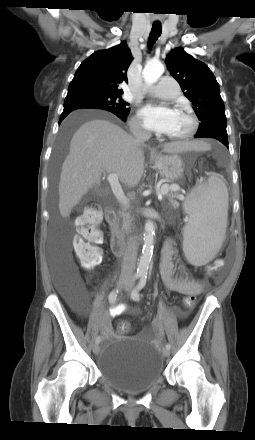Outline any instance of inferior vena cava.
<instances>
[{"label":"inferior vena cava","mask_w":255,"mask_h":440,"mask_svg":"<svg viewBox=\"0 0 255 440\" xmlns=\"http://www.w3.org/2000/svg\"><path fill=\"white\" fill-rule=\"evenodd\" d=\"M132 133L135 136L137 142H144L149 139L150 134L138 126L132 127ZM138 251V242L135 236L129 238L124 253L120 279L130 281L133 278L134 270L136 268Z\"/></svg>","instance_id":"602c4592"}]
</instances>
